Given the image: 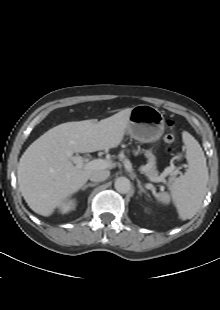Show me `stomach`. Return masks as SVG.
Wrapping results in <instances>:
<instances>
[{"instance_id":"obj_1","label":"stomach","mask_w":220,"mask_h":310,"mask_svg":"<svg viewBox=\"0 0 220 310\" xmlns=\"http://www.w3.org/2000/svg\"><path fill=\"white\" fill-rule=\"evenodd\" d=\"M164 129V116L157 108L141 104L131 109L126 132L135 140L142 143L156 142L163 135ZM148 156L152 157L151 151Z\"/></svg>"}]
</instances>
